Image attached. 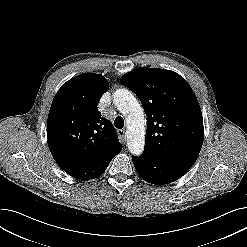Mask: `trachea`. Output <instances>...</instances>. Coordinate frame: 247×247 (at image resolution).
I'll list each match as a JSON object with an SVG mask.
<instances>
[{
    "instance_id": "obj_1",
    "label": "trachea",
    "mask_w": 247,
    "mask_h": 247,
    "mask_svg": "<svg viewBox=\"0 0 247 247\" xmlns=\"http://www.w3.org/2000/svg\"><path fill=\"white\" fill-rule=\"evenodd\" d=\"M114 125L117 129H122L124 127V120L121 116H118L114 120Z\"/></svg>"
}]
</instances>
